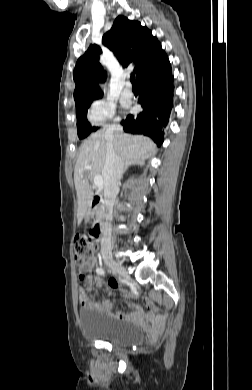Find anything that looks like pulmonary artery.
<instances>
[{
  "label": "pulmonary artery",
  "instance_id": "e3ab8cb5",
  "mask_svg": "<svg viewBox=\"0 0 252 390\" xmlns=\"http://www.w3.org/2000/svg\"><path fill=\"white\" fill-rule=\"evenodd\" d=\"M122 93H123V96L128 97V98L133 96L132 85L130 82L125 83Z\"/></svg>",
  "mask_w": 252,
  "mask_h": 390
}]
</instances>
